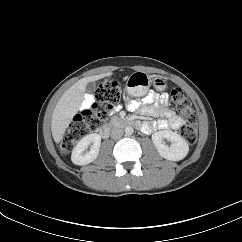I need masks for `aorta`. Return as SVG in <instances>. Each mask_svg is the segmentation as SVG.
Wrapping results in <instances>:
<instances>
[{
    "instance_id": "762f6f07",
    "label": "aorta",
    "mask_w": 242,
    "mask_h": 242,
    "mask_svg": "<svg viewBox=\"0 0 242 242\" xmlns=\"http://www.w3.org/2000/svg\"><path fill=\"white\" fill-rule=\"evenodd\" d=\"M124 131H125V135L131 136L133 134V132H134V129L131 126H127V127H125Z\"/></svg>"
}]
</instances>
